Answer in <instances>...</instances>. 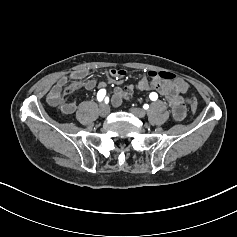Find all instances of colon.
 Masks as SVG:
<instances>
[{
	"label": "colon",
	"instance_id": "obj_1",
	"mask_svg": "<svg viewBox=\"0 0 237 237\" xmlns=\"http://www.w3.org/2000/svg\"><path fill=\"white\" fill-rule=\"evenodd\" d=\"M157 76L161 79H164V80H177L175 75H173L171 73H167V72H159V73H157ZM79 87H80V84L78 82H74L67 87L66 92L72 93V92L76 91L77 89H79ZM190 109H191L192 113H196L197 101L195 100V98H191Z\"/></svg>",
	"mask_w": 237,
	"mask_h": 237
}]
</instances>
